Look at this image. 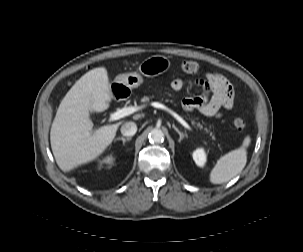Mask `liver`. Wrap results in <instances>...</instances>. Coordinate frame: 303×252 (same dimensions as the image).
Masks as SVG:
<instances>
[{"label":"liver","instance_id":"obj_1","mask_svg":"<svg viewBox=\"0 0 303 252\" xmlns=\"http://www.w3.org/2000/svg\"><path fill=\"white\" fill-rule=\"evenodd\" d=\"M112 100L106 68L84 74L61 101L50 131L59 168L69 172L101 155L113 141L121 122L93 131L90 113L103 112Z\"/></svg>","mask_w":303,"mask_h":252}]
</instances>
